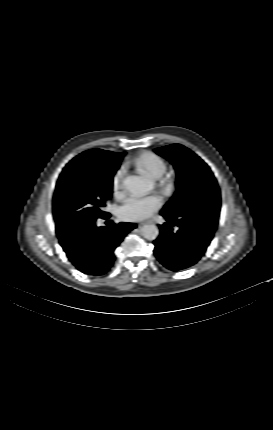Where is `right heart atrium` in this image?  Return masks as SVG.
Listing matches in <instances>:
<instances>
[{"label": "right heart atrium", "mask_w": 273, "mask_h": 430, "mask_svg": "<svg viewBox=\"0 0 273 430\" xmlns=\"http://www.w3.org/2000/svg\"><path fill=\"white\" fill-rule=\"evenodd\" d=\"M125 174L124 167H120L113 175L112 189L115 194H119L123 189V178Z\"/></svg>", "instance_id": "d8ad5b80"}]
</instances>
